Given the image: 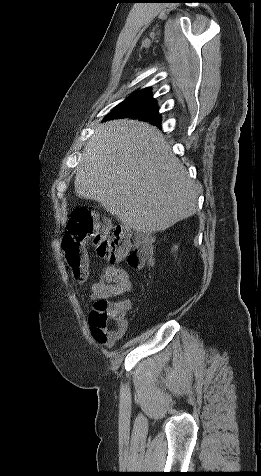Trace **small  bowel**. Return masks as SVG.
I'll return each mask as SVG.
<instances>
[{"label": "small bowel", "instance_id": "small-bowel-1", "mask_svg": "<svg viewBox=\"0 0 261 476\" xmlns=\"http://www.w3.org/2000/svg\"><path fill=\"white\" fill-rule=\"evenodd\" d=\"M132 289L133 284L129 272L117 264H111L102 269L99 280L92 285L91 299L95 302L106 300L130 293ZM121 302L126 305L128 310L130 307L129 301Z\"/></svg>", "mask_w": 261, "mask_h": 476}]
</instances>
